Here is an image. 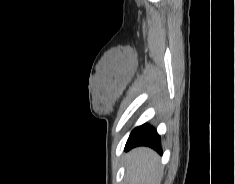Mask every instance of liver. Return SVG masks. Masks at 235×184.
Here are the masks:
<instances>
[{
    "label": "liver",
    "mask_w": 235,
    "mask_h": 184,
    "mask_svg": "<svg viewBox=\"0 0 235 184\" xmlns=\"http://www.w3.org/2000/svg\"><path fill=\"white\" fill-rule=\"evenodd\" d=\"M125 164L129 184H157L159 156L150 148H135L127 154Z\"/></svg>",
    "instance_id": "obj_1"
}]
</instances>
